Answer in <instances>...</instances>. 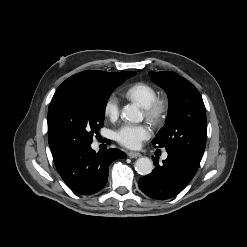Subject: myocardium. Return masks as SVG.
<instances>
[{
	"instance_id": "myocardium-1",
	"label": "myocardium",
	"mask_w": 247,
	"mask_h": 247,
	"mask_svg": "<svg viewBox=\"0 0 247 247\" xmlns=\"http://www.w3.org/2000/svg\"><path fill=\"white\" fill-rule=\"evenodd\" d=\"M169 112V101L164 97H156L148 106L144 107L146 119L155 126L164 122Z\"/></svg>"
}]
</instances>
